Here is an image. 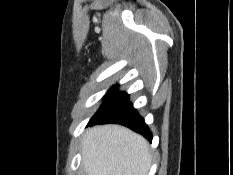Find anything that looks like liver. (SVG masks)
Here are the masks:
<instances>
[{
	"label": "liver",
	"mask_w": 233,
	"mask_h": 175,
	"mask_svg": "<svg viewBox=\"0 0 233 175\" xmlns=\"http://www.w3.org/2000/svg\"><path fill=\"white\" fill-rule=\"evenodd\" d=\"M87 175H148L151 154L147 141L120 125L88 129L82 144Z\"/></svg>",
	"instance_id": "obj_1"
}]
</instances>
